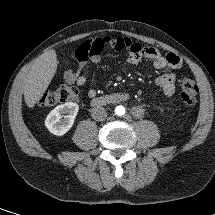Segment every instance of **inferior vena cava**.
Listing matches in <instances>:
<instances>
[{
  "mask_svg": "<svg viewBox=\"0 0 215 215\" xmlns=\"http://www.w3.org/2000/svg\"><path fill=\"white\" fill-rule=\"evenodd\" d=\"M91 116L96 121H104L107 118V112L102 106H97L91 110Z\"/></svg>",
  "mask_w": 215,
  "mask_h": 215,
  "instance_id": "1",
  "label": "inferior vena cava"
}]
</instances>
